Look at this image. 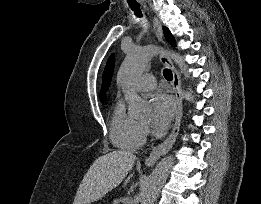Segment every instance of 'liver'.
Listing matches in <instances>:
<instances>
[{
  "label": "liver",
  "instance_id": "obj_1",
  "mask_svg": "<svg viewBox=\"0 0 261 204\" xmlns=\"http://www.w3.org/2000/svg\"><path fill=\"white\" fill-rule=\"evenodd\" d=\"M136 159L127 151H112L98 157L85 174L73 204H90L101 199L123 181Z\"/></svg>",
  "mask_w": 261,
  "mask_h": 204
}]
</instances>
